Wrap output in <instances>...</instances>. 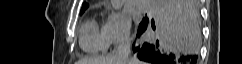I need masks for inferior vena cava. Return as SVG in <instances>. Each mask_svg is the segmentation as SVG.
<instances>
[{"instance_id": "1", "label": "inferior vena cava", "mask_w": 242, "mask_h": 64, "mask_svg": "<svg viewBox=\"0 0 242 64\" xmlns=\"http://www.w3.org/2000/svg\"><path fill=\"white\" fill-rule=\"evenodd\" d=\"M131 42L128 38L122 40L116 50V58L121 64H128Z\"/></svg>"}]
</instances>
